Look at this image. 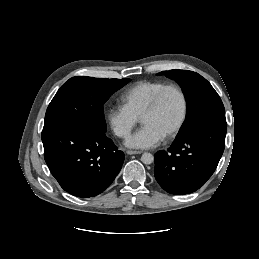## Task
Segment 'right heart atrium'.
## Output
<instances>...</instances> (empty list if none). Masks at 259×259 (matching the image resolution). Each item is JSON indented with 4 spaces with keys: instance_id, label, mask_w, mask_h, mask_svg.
Listing matches in <instances>:
<instances>
[{
    "instance_id": "1",
    "label": "right heart atrium",
    "mask_w": 259,
    "mask_h": 259,
    "mask_svg": "<svg viewBox=\"0 0 259 259\" xmlns=\"http://www.w3.org/2000/svg\"><path fill=\"white\" fill-rule=\"evenodd\" d=\"M106 118L113 133L122 139L127 138L138 123V118L124 106L111 107L107 111Z\"/></svg>"
}]
</instances>
